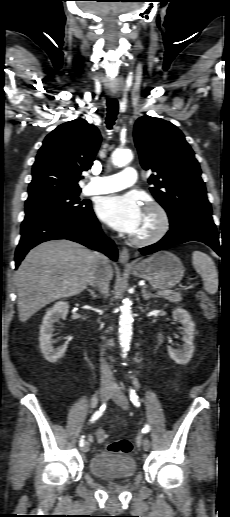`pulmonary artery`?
Returning a JSON list of instances; mask_svg holds the SVG:
<instances>
[{
	"mask_svg": "<svg viewBox=\"0 0 230 517\" xmlns=\"http://www.w3.org/2000/svg\"><path fill=\"white\" fill-rule=\"evenodd\" d=\"M136 181L135 169L127 167L117 174L92 177L85 188V193L88 195L111 193L128 188L134 185Z\"/></svg>",
	"mask_w": 230,
	"mask_h": 517,
	"instance_id": "pulmonary-artery-1",
	"label": "pulmonary artery"
}]
</instances>
